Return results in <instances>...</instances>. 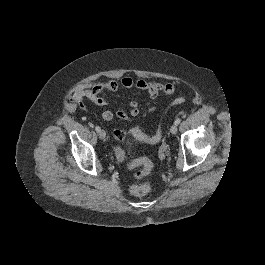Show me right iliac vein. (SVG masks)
<instances>
[{"label": "right iliac vein", "instance_id": "right-iliac-vein-1", "mask_svg": "<svg viewBox=\"0 0 265 265\" xmlns=\"http://www.w3.org/2000/svg\"><path fill=\"white\" fill-rule=\"evenodd\" d=\"M98 135H99L100 139H105V137H106V133L104 130H100Z\"/></svg>", "mask_w": 265, "mask_h": 265}]
</instances>
